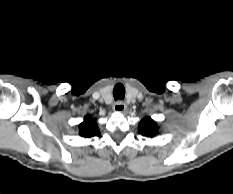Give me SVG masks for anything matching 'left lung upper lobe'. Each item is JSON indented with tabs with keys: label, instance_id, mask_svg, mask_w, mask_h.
Wrapping results in <instances>:
<instances>
[{
	"label": "left lung upper lobe",
	"instance_id": "1",
	"mask_svg": "<svg viewBox=\"0 0 233 194\" xmlns=\"http://www.w3.org/2000/svg\"><path fill=\"white\" fill-rule=\"evenodd\" d=\"M139 131L143 136L152 138L158 133L157 124L150 117L144 118L139 123Z\"/></svg>",
	"mask_w": 233,
	"mask_h": 194
}]
</instances>
